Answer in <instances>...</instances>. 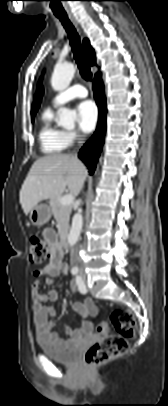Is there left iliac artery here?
<instances>
[{
    "label": "left iliac artery",
    "instance_id": "1",
    "mask_svg": "<svg viewBox=\"0 0 168 406\" xmlns=\"http://www.w3.org/2000/svg\"><path fill=\"white\" fill-rule=\"evenodd\" d=\"M76 284L80 293L85 294L87 292L86 286L80 276L76 277Z\"/></svg>",
    "mask_w": 168,
    "mask_h": 406
}]
</instances>
